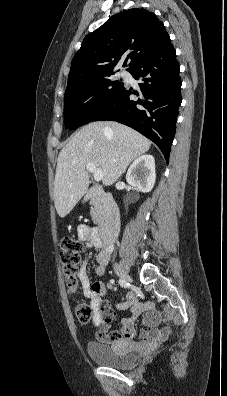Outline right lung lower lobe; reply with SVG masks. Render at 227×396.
<instances>
[{"label":"right lung lower lobe","instance_id":"right-lung-lower-lobe-1","mask_svg":"<svg viewBox=\"0 0 227 396\" xmlns=\"http://www.w3.org/2000/svg\"><path fill=\"white\" fill-rule=\"evenodd\" d=\"M179 70L171 42L149 52L128 69L140 79L139 91L123 86L92 121H117L137 130L161 149L168 162L182 101ZM131 94L138 99L131 100Z\"/></svg>","mask_w":227,"mask_h":396}]
</instances>
